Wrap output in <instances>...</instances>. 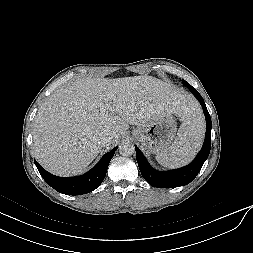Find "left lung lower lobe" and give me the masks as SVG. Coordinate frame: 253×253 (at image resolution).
<instances>
[{
  "label": "left lung lower lobe",
  "instance_id": "1",
  "mask_svg": "<svg viewBox=\"0 0 253 253\" xmlns=\"http://www.w3.org/2000/svg\"><path fill=\"white\" fill-rule=\"evenodd\" d=\"M188 88L193 93V95L199 100L201 106L203 107L204 115L206 117V135L203 147L198 153L196 158L187 166L170 170L166 172H160L154 170L147 162L140 150L135 146L136 149V159L143 178L152 186L159 188H171L179 187L189 184L197 174L200 172L204 162L209 156L211 148V118L210 114L206 108L205 102L198 91L188 84Z\"/></svg>",
  "mask_w": 253,
  "mask_h": 253
}]
</instances>
